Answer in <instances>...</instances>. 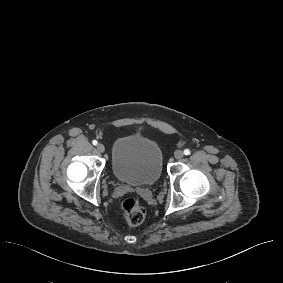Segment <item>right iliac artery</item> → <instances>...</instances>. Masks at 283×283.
I'll use <instances>...</instances> for the list:
<instances>
[{"label":"right iliac artery","mask_w":283,"mask_h":283,"mask_svg":"<svg viewBox=\"0 0 283 283\" xmlns=\"http://www.w3.org/2000/svg\"><path fill=\"white\" fill-rule=\"evenodd\" d=\"M92 144H93V145H97L98 142H97L96 140H93V141H92Z\"/></svg>","instance_id":"obj_1"}]
</instances>
